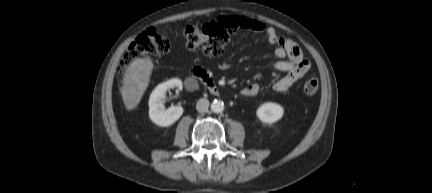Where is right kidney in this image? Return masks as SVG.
Returning a JSON list of instances; mask_svg holds the SVG:
<instances>
[{"mask_svg": "<svg viewBox=\"0 0 432 193\" xmlns=\"http://www.w3.org/2000/svg\"><path fill=\"white\" fill-rule=\"evenodd\" d=\"M178 87L182 89L183 83L180 79L173 78L159 84L151 93L149 98V117L158 126L168 127L175 123L183 114L181 106L165 108L163 100L168 89Z\"/></svg>", "mask_w": 432, "mask_h": 193, "instance_id": "right-kidney-1", "label": "right kidney"}]
</instances>
